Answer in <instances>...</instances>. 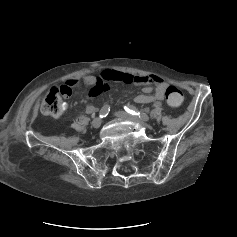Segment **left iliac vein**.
<instances>
[{
	"label": "left iliac vein",
	"mask_w": 237,
	"mask_h": 237,
	"mask_svg": "<svg viewBox=\"0 0 237 237\" xmlns=\"http://www.w3.org/2000/svg\"><path fill=\"white\" fill-rule=\"evenodd\" d=\"M115 115L119 118H122V119H126V120H129L131 122H134V123H139L141 126L143 127H146V128H150L151 126L143 121H141L139 118L133 116V115H130L124 111H117L115 113Z\"/></svg>",
	"instance_id": "4c4485c4"
}]
</instances>
